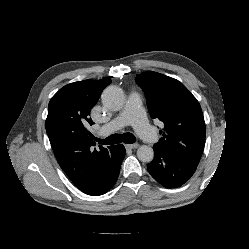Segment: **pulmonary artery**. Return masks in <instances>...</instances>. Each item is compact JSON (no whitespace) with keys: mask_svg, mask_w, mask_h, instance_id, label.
<instances>
[{"mask_svg":"<svg viewBox=\"0 0 249 249\" xmlns=\"http://www.w3.org/2000/svg\"><path fill=\"white\" fill-rule=\"evenodd\" d=\"M128 125L132 126L146 142H156L158 138L157 133L146 119L142 97L137 91L130 93L119 115L103 125L99 130V134L107 136Z\"/></svg>","mask_w":249,"mask_h":249,"instance_id":"obj_1","label":"pulmonary artery"}]
</instances>
